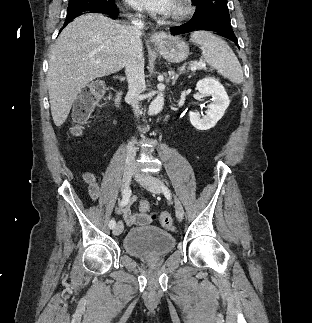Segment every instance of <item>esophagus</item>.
Masks as SVG:
<instances>
[{"instance_id":"obj_1","label":"esophagus","mask_w":312,"mask_h":323,"mask_svg":"<svg viewBox=\"0 0 312 323\" xmlns=\"http://www.w3.org/2000/svg\"><path fill=\"white\" fill-rule=\"evenodd\" d=\"M167 39V35L163 31L155 32L150 36V40L155 45L161 44L163 41Z\"/></svg>"}]
</instances>
